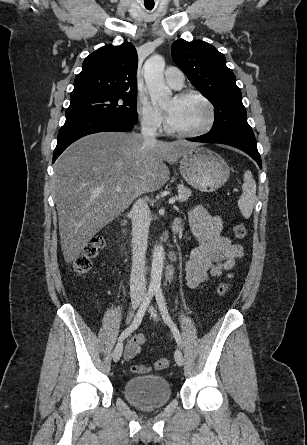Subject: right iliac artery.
Segmentation results:
<instances>
[{
	"mask_svg": "<svg viewBox=\"0 0 307 445\" xmlns=\"http://www.w3.org/2000/svg\"><path fill=\"white\" fill-rule=\"evenodd\" d=\"M153 295H154V291H153V290H149V291L147 292V294H146V296H145V298H144V300H143V302H142L140 308L138 309V311H137V313H136V315H135V317H134L133 322L131 323V325H130L126 330H124V331L121 333V335H120L118 341H122V340H124V339H125L127 336H129V335H130L136 328H138V326L140 325V323H141V321H142V318H143V316H144V314H145V311H146L147 307L149 306V304H150V302H151V300H152V298H153Z\"/></svg>",
	"mask_w": 307,
	"mask_h": 445,
	"instance_id": "obj_1",
	"label": "right iliac artery"
}]
</instances>
